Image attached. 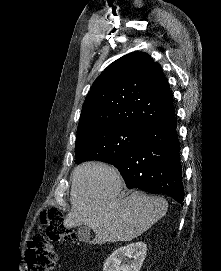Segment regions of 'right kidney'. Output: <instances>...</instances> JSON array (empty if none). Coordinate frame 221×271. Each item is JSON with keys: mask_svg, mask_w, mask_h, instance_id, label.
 Wrapping results in <instances>:
<instances>
[{"mask_svg": "<svg viewBox=\"0 0 221 271\" xmlns=\"http://www.w3.org/2000/svg\"><path fill=\"white\" fill-rule=\"evenodd\" d=\"M144 241H132L121 245L107 257L103 271H139L146 255Z\"/></svg>", "mask_w": 221, "mask_h": 271, "instance_id": "right-kidney-1", "label": "right kidney"}]
</instances>
